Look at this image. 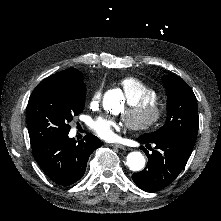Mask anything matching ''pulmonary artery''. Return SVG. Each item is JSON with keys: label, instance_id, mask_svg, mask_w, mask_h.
<instances>
[{"label": "pulmonary artery", "instance_id": "pulmonary-artery-1", "mask_svg": "<svg viewBox=\"0 0 221 221\" xmlns=\"http://www.w3.org/2000/svg\"><path fill=\"white\" fill-rule=\"evenodd\" d=\"M122 95L124 98H134L138 94L139 82L134 79H127L123 82Z\"/></svg>", "mask_w": 221, "mask_h": 221}]
</instances>
